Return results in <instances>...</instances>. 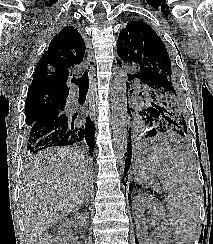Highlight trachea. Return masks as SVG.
Wrapping results in <instances>:
<instances>
[{
  "label": "trachea",
  "mask_w": 213,
  "mask_h": 244,
  "mask_svg": "<svg viewBox=\"0 0 213 244\" xmlns=\"http://www.w3.org/2000/svg\"><path fill=\"white\" fill-rule=\"evenodd\" d=\"M72 81L76 85H78L80 93L88 92V89H89V77H88V72L87 71L84 72L82 77H80L78 79H73Z\"/></svg>",
  "instance_id": "trachea-1"
}]
</instances>
